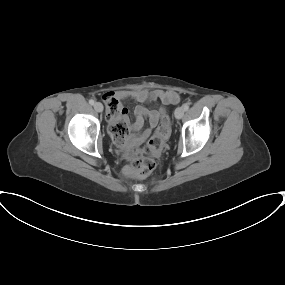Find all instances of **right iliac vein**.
<instances>
[{
    "mask_svg": "<svg viewBox=\"0 0 285 285\" xmlns=\"http://www.w3.org/2000/svg\"><path fill=\"white\" fill-rule=\"evenodd\" d=\"M94 109L97 111V112H102L103 111V105L100 103V102H96L94 104Z\"/></svg>",
    "mask_w": 285,
    "mask_h": 285,
    "instance_id": "1",
    "label": "right iliac vein"
}]
</instances>
